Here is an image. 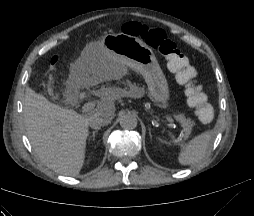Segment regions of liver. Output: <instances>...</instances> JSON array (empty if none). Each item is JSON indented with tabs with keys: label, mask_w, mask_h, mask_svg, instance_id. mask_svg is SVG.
I'll use <instances>...</instances> for the list:
<instances>
[{
	"label": "liver",
	"mask_w": 254,
	"mask_h": 216,
	"mask_svg": "<svg viewBox=\"0 0 254 216\" xmlns=\"http://www.w3.org/2000/svg\"><path fill=\"white\" fill-rule=\"evenodd\" d=\"M75 63L71 65L69 79L83 88L119 80L127 74V67L119 57L108 58L103 66L91 72L76 68ZM116 97L115 89L103 90L96 109L80 115L27 88L23 100L24 124L27 137L40 160L60 174L78 175L85 160L88 119L97 113L111 121L115 116Z\"/></svg>",
	"instance_id": "6515ba94"
}]
</instances>
